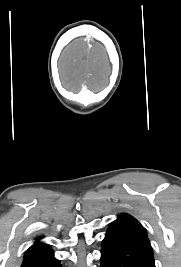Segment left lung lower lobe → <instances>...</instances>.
I'll return each mask as SVG.
<instances>
[{
  "label": "left lung lower lobe",
  "instance_id": "0a47b994",
  "mask_svg": "<svg viewBox=\"0 0 181 267\" xmlns=\"http://www.w3.org/2000/svg\"><path fill=\"white\" fill-rule=\"evenodd\" d=\"M101 267H155L147 236L126 224L111 223L102 241Z\"/></svg>",
  "mask_w": 181,
  "mask_h": 267
}]
</instances>
